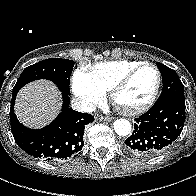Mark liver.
I'll return each mask as SVG.
<instances>
[{"instance_id": "1", "label": "liver", "mask_w": 196, "mask_h": 196, "mask_svg": "<svg viewBox=\"0 0 196 196\" xmlns=\"http://www.w3.org/2000/svg\"><path fill=\"white\" fill-rule=\"evenodd\" d=\"M61 105V93L58 88L50 81L36 80L19 91L15 113L25 126L41 128L57 116Z\"/></svg>"}]
</instances>
